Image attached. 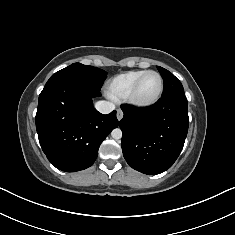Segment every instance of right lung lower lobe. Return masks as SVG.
<instances>
[{
    "label": "right lung lower lobe",
    "mask_w": 235,
    "mask_h": 235,
    "mask_svg": "<svg viewBox=\"0 0 235 235\" xmlns=\"http://www.w3.org/2000/svg\"><path fill=\"white\" fill-rule=\"evenodd\" d=\"M100 90L73 82L45 86L39 95L36 129L48 160L75 172L90 167L109 133L118 127L116 111L103 115L93 108Z\"/></svg>",
    "instance_id": "right-lung-lower-lobe-1"
}]
</instances>
